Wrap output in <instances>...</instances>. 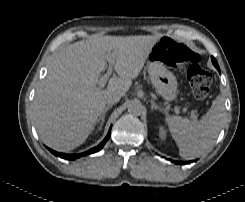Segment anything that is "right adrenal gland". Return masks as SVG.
<instances>
[{
    "label": "right adrenal gland",
    "instance_id": "right-adrenal-gland-1",
    "mask_svg": "<svg viewBox=\"0 0 245 202\" xmlns=\"http://www.w3.org/2000/svg\"><path fill=\"white\" fill-rule=\"evenodd\" d=\"M112 108V105H109V106H107V107H105V109L103 110V112H102V114H101V116L99 117V119H98V123H99V129L102 127V125H103V123H104V121H105V115H106V112L109 110V109H111Z\"/></svg>",
    "mask_w": 245,
    "mask_h": 202
}]
</instances>
